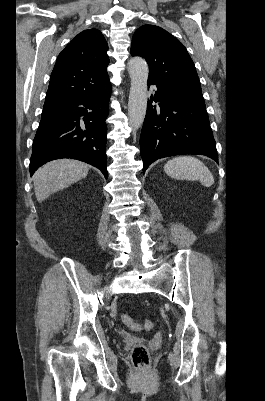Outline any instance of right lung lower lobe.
Returning a JSON list of instances; mask_svg holds the SVG:
<instances>
[{
	"mask_svg": "<svg viewBox=\"0 0 265 401\" xmlns=\"http://www.w3.org/2000/svg\"><path fill=\"white\" fill-rule=\"evenodd\" d=\"M111 84L102 90L44 107L30 158V175L48 161L73 158L107 172L105 120Z\"/></svg>",
	"mask_w": 265,
	"mask_h": 401,
	"instance_id": "right-lung-lower-lobe-1",
	"label": "right lung lower lobe"
}]
</instances>
